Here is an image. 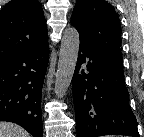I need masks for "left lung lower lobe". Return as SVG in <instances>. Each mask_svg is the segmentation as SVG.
Returning <instances> with one entry per match:
<instances>
[{"instance_id": "obj_1", "label": "left lung lower lobe", "mask_w": 144, "mask_h": 137, "mask_svg": "<svg viewBox=\"0 0 144 137\" xmlns=\"http://www.w3.org/2000/svg\"><path fill=\"white\" fill-rule=\"evenodd\" d=\"M72 91L78 137H139L122 61L98 53L80 41Z\"/></svg>"}]
</instances>
